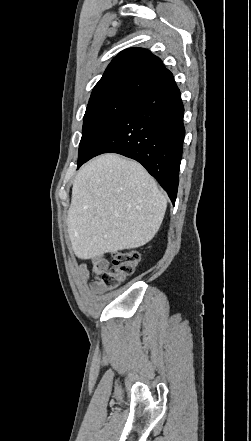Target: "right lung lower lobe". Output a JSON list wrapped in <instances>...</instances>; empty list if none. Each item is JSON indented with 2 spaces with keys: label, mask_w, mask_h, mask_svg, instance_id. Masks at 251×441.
Segmentation results:
<instances>
[{
  "label": "right lung lower lobe",
  "mask_w": 251,
  "mask_h": 441,
  "mask_svg": "<svg viewBox=\"0 0 251 441\" xmlns=\"http://www.w3.org/2000/svg\"><path fill=\"white\" fill-rule=\"evenodd\" d=\"M183 115L181 94L171 76L139 98L83 163L109 152L132 158L160 183L174 204L185 136Z\"/></svg>",
  "instance_id": "98d812e1"
}]
</instances>
